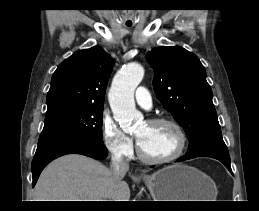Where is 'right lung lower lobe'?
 I'll list each match as a JSON object with an SVG mask.
<instances>
[{"label": "right lung lower lobe", "mask_w": 259, "mask_h": 211, "mask_svg": "<svg viewBox=\"0 0 259 211\" xmlns=\"http://www.w3.org/2000/svg\"><path fill=\"white\" fill-rule=\"evenodd\" d=\"M73 153L94 159H104L107 157L108 150L103 143L77 137H60L39 141L32 161V186H35L41 171L48 163L57 157Z\"/></svg>", "instance_id": "right-lung-lower-lobe-1"}]
</instances>
